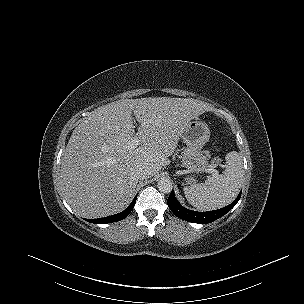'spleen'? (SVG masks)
I'll list each match as a JSON object with an SVG mask.
<instances>
[{"label":"spleen","instance_id":"spleen-1","mask_svg":"<svg viewBox=\"0 0 304 304\" xmlns=\"http://www.w3.org/2000/svg\"><path fill=\"white\" fill-rule=\"evenodd\" d=\"M225 160L227 165L223 174L205 183L184 187L185 197L192 206L202 211L215 210L230 204L238 195L244 177L241 156L231 151Z\"/></svg>","mask_w":304,"mask_h":304}]
</instances>
